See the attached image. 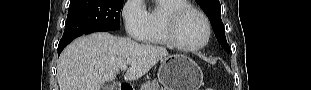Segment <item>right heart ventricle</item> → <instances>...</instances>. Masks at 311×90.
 Returning <instances> with one entry per match:
<instances>
[{"instance_id": "e07e8e85", "label": "right heart ventricle", "mask_w": 311, "mask_h": 90, "mask_svg": "<svg viewBox=\"0 0 311 90\" xmlns=\"http://www.w3.org/2000/svg\"><path fill=\"white\" fill-rule=\"evenodd\" d=\"M189 5L185 0H158L155 8L147 12V28L143 42L169 46L164 31V18L171 11Z\"/></svg>"}]
</instances>
